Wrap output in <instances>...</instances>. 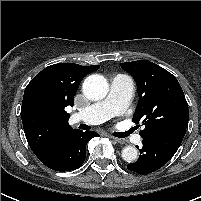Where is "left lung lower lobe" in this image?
Here are the masks:
<instances>
[{"instance_id": "obj_1", "label": "left lung lower lobe", "mask_w": 201, "mask_h": 201, "mask_svg": "<svg viewBox=\"0 0 201 201\" xmlns=\"http://www.w3.org/2000/svg\"><path fill=\"white\" fill-rule=\"evenodd\" d=\"M184 136L175 134L143 138L139 159L127 166L141 175L152 173L164 166L176 153ZM137 148H139L137 146Z\"/></svg>"}]
</instances>
